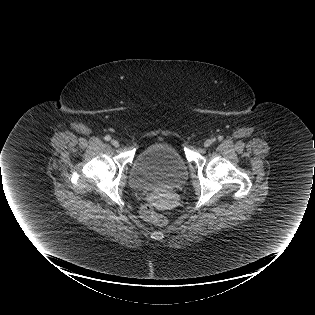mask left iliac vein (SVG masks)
I'll use <instances>...</instances> for the list:
<instances>
[{"instance_id": "obj_1", "label": "left iliac vein", "mask_w": 315, "mask_h": 315, "mask_svg": "<svg viewBox=\"0 0 315 315\" xmlns=\"http://www.w3.org/2000/svg\"><path fill=\"white\" fill-rule=\"evenodd\" d=\"M212 143H213V141L210 140V139H208V140H206V141L204 142V147H209V146L212 145Z\"/></svg>"}]
</instances>
